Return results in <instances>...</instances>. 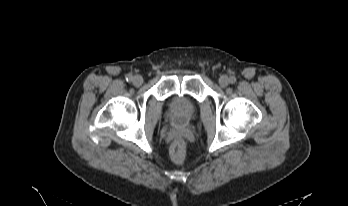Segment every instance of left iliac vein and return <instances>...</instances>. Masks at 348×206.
<instances>
[{"instance_id": "obj_1", "label": "left iliac vein", "mask_w": 348, "mask_h": 206, "mask_svg": "<svg viewBox=\"0 0 348 206\" xmlns=\"http://www.w3.org/2000/svg\"><path fill=\"white\" fill-rule=\"evenodd\" d=\"M229 78L226 76V75H222L220 78H219V84L221 87H226L228 86L229 84Z\"/></svg>"}]
</instances>
